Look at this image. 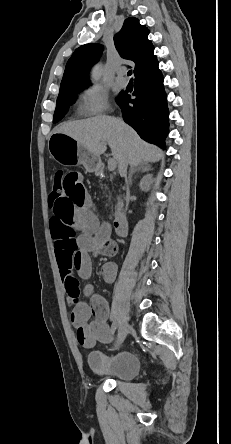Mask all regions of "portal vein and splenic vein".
I'll list each match as a JSON object with an SVG mask.
<instances>
[{"label":"portal vein and splenic vein","instance_id":"obj_1","mask_svg":"<svg viewBox=\"0 0 231 444\" xmlns=\"http://www.w3.org/2000/svg\"><path fill=\"white\" fill-rule=\"evenodd\" d=\"M116 166H117L116 160L114 158H110L109 161H108V170L109 171H114Z\"/></svg>","mask_w":231,"mask_h":444}]
</instances>
